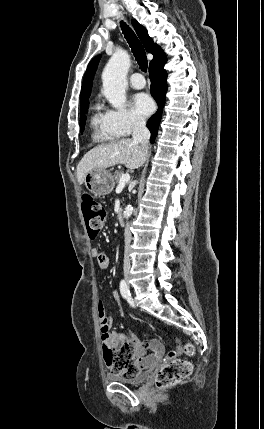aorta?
I'll list each match as a JSON object with an SVG mask.
<instances>
[{"label":"aorta","mask_w":264,"mask_h":429,"mask_svg":"<svg viewBox=\"0 0 264 429\" xmlns=\"http://www.w3.org/2000/svg\"><path fill=\"white\" fill-rule=\"evenodd\" d=\"M130 66V56L124 50H117L109 59L103 73V95L115 109H120L126 102L125 90L127 86L126 76ZM133 207L128 205L124 212V218L132 215Z\"/></svg>","instance_id":"1"}]
</instances>
